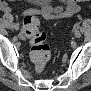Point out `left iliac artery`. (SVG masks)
<instances>
[{
  "instance_id": "left-iliac-artery-1",
  "label": "left iliac artery",
  "mask_w": 91,
  "mask_h": 91,
  "mask_svg": "<svg viewBox=\"0 0 91 91\" xmlns=\"http://www.w3.org/2000/svg\"><path fill=\"white\" fill-rule=\"evenodd\" d=\"M75 27L79 28L80 27V22L76 23Z\"/></svg>"
}]
</instances>
